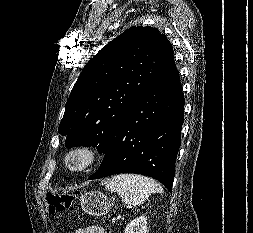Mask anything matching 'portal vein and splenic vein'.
<instances>
[{"mask_svg": "<svg viewBox=\"0 0 253 233\" xmlns=\"http://www.w3.org/2000/svg\"><path fill=\"white\" fill-rule=\"evenodd\" d=\"M120 218H121V216H120V215H118V216H117V219H120Z\"/></svg>", "mask_w": 253, "mask_h": 233, "instance_id": "1", "label": "portal vein and splenic vein"}]
</instances>
